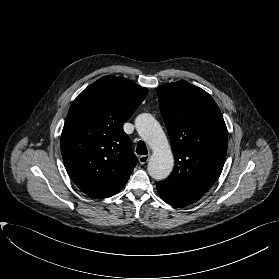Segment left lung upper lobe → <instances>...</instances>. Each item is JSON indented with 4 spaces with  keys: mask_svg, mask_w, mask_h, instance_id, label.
Segmentation results:
<instances>
[{
    "mask_svg": "<svg viewBox=\"0 0 279 279\" xmlns=\"http://www.w3.org/2000/svg\"><path fill=\"white\" fill-rule=\"evenodd\" d=\"M175 167L164 180L202 196L219 178L226 159L227 127L210 94L187 81L157 88Z\"/></svg>",
    "mask_w": 279,
    "mask_h": 279,
    "instance_id": "obj_1",
    "label": "left lung upper lobe"
}]
</instances>
